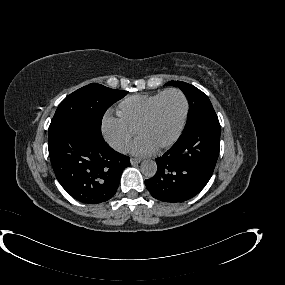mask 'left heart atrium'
Here are the masks:
<instances>
[{
	"label": "left heart atrium",
	"instance_id": "39dd6f15",
	"mask_svg": "<svg viewBox=\"0 0 285 285\" xmlns=\"http://www.w3.org/2000/svg\"><path fill=\"white\" fill-rule=\"evenodd\" d=\"M130 151L136 156H147L155 151V147L150 144L145 138L139 137L132 144Z\"/></svg>",
	"mask_w": 285,
	"mask_h": 285
}]
</instances>
